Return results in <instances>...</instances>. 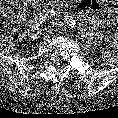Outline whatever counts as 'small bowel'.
<instances>
[{"mask_svg":"<svg viewBox=\"0 0 118 118\" xmlns=\"http://www.w3.org/2000/svg\"><path fill=\"white\" fill-rule=\"evenodd\" d=\"M27 1H29V0H27ZM49 1H51L52 2V5L53 6H56V7H60V6L66 5L63 2H60L59 0H49ZM88 4H89L88 6H93L94 5V3H92V2L91 3H88ZM88 9L90 10V8H88ZM114 11H116V13H118V3L116 1H114V0H112V4L110 3V4L107 5V12L109 14H112ZM88 14H90L89 11H88ZM25 18H26V15L25 14H22L19 17V19L21 21H24ZM115 18H116V22L118 23V15H116Z\"/></svg>","mask_w":118,"mask_h":118,"instance_id":"small-bowel-1","label":"small bowel"}]
</instances>
